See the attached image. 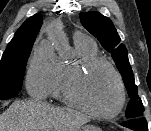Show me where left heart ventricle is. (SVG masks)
Here are the masks:
<instances>
[{
  "label": "left heart ventricle",
  "instance_id": "left-heart-ventricle-1",
  "mask_svg": "<svg viewBox=\"0 0 151 131\" xmlns=\"http://www.w3.org/2000/svg\"><path fill=\"white\" fill-rule=\"evenodd\" d=\"M79 90L85 102L95 111L109 113L117 106L118 85L104 65L92 68L81 80Z\"/></svg>",
  "mask_w": 151,
  "mask_h": 131
}]
</instances>
